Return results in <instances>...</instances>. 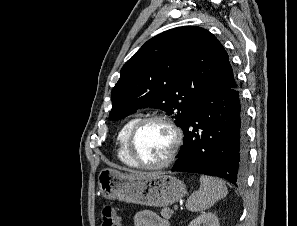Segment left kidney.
<instances>
[{
  "label": "left kidney",
  "mask_w": 297,
  "mask_h": 226,
  "mask_svg": "<svg viewBox=\"0 0 297 226\" xmlns=\"http://www.w3.org/2000/svg\"><path fill=\"white\" fill-rule=\"evenodd\" d=\"M188 226H220L218 217L212 213H202L193 219Z\"/></svg>",
  "instance_id": "5707ae66"
}]
</instances>
